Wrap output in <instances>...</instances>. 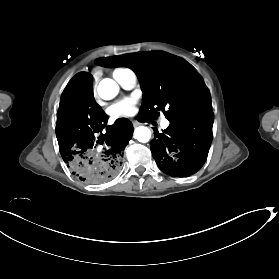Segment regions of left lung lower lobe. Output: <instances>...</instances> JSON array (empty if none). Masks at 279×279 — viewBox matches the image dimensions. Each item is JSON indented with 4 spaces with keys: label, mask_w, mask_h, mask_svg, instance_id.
I'll use <instances>...</instances> for the list:
<instances>
[{
    "label": "left lung lower lobe",
    "mask_w": 279,
    "mask_h": 279,
    "mask_svg": "<svg viewBox=\"0 0 279 279\" xmlns=\"http://www.w3.org/2000/svg\"><path fill=\"white\" fill-rule=\"evenodd\" d=\"M213 113L170 121L163 133L156 132L151 145L158 167L172 177H188L206 161L212 142Z\"/></svg>",
    "instance_id": "left-lung-lower-lobe-1"
}]
</instances>
